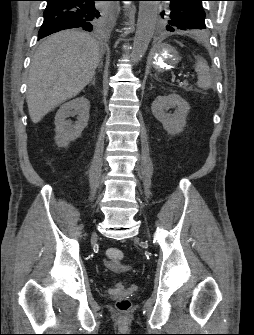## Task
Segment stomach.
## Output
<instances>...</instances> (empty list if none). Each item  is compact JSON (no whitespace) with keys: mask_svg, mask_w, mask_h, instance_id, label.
Masks as SVG:
<instances>
[{"mask_svg":"<svg viewBox=\"0 0 254 335\" xmlns=\"http://www.w3.org/2000/svg\"><path fill=\"white\" fill-rule=\"evenodd\" d=\"M178 51L168 44L158 45L151 57V65L159 72L167 71L174 68L180 61Z\"/></svg>","mask_w":254,"mask_h":335,"instance_id":"stomach-1","label":"stomach"}]
</instances>
